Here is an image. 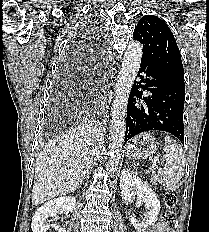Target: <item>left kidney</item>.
<instances>
[{"instance_id":"left-kidney-1","label":"left kidney","mask_w":209,"mask_h":232,"mask_svg":"<svg viewBox=\"0 0 209 232\" xmlns=\"http://www.w3.org/2000/svg\"><path fill=\"white\" fill-rule=\"evenodd\" d=\"M120 188L122 199L126 203L132 202L134 195H136L137 200L144 203L148 209L144 214L143 221L139 222L134 217L130 219L137 232H146V229L157 220L161 208L156 193L145 181L133 175L129 169L121 171Z\"/></svg>"}]
</instances>
